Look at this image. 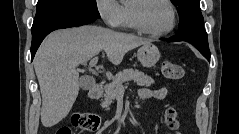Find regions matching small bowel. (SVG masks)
Returning <instances> with one entry per match:
<instances>
[{
    "label": "small bowel",
    "mask_w": 239,
    "mask_h": 134,
    "mask_svg": "<svg viewBox=\"0 0 239 134\" xmlns=\"http://www.w3.org/2000/svg\"><path fill=\"white\" fill-rule=\"evenodd\" d=\"M167 89L166 88H158V89H150V88H142L138 95L142 100L146 99H158L164 100L167 97Z\"/></svg>",
    "instance_id": "small-bowel-1"
}]
</instances>
